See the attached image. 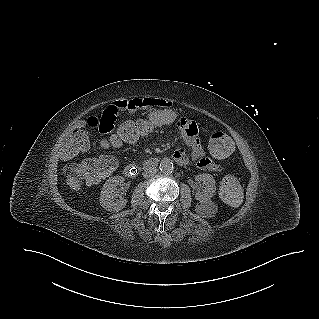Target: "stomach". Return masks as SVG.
<instances>
[{
    "label": "stomach",
    "mask_w": 319,
    "mask_h": 319,
    "mask_svg": "<svg viewBox=\"0 0 319 319\" xmlns=\"http://www.w3.org/2000/svg\"><path fill=\"white\" fill-rule=\"evenodd\" d=\"M177 113L172 109H160L148 111L140 121L147 128V133L159 130L163 125H169L175 121Z\"/></svg>",
    "instance_id": "1"
}]
</instances>
